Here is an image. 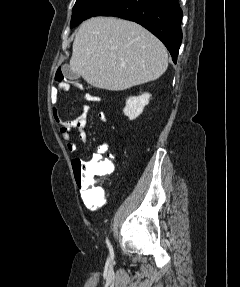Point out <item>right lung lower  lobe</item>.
<instances>
[{"mask_svg":"<svg viewBox=\"0 0 240 287\" xmlns=\"http://www.w3.org/2000/svg\"><path fill=\"white\" fill-rule=\"evenodd\" d=\"M93 16L120 17L144 26L164 43L176 63L182 40L178 0H107Z\"/></svg>","mask_w":240,"mask_h":287,"instance_id":"1","label":"right lung lower lobe"}]
</instances>
